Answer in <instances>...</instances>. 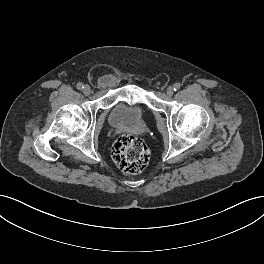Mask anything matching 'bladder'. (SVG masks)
I'll return each instance as SVG.
<instances>
[{
    "label": "bladder",
    "mask_w": 264,
    "mask_h": 264,
    "mask_svg": "<svg viewBox=\"0 0 264 264\" xmlns=\"http://www.w3.org/2000/svg\"><path fill=\"white\" fill-rule=\"evenodd\" d=\"M146 109L138 103L118 102L108 114L107 122L112 127L137 125L145 116Z\"/></svg>",
    "instance_id": "obj_1"
}]
</instances>
